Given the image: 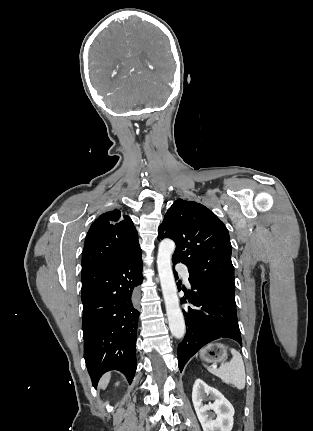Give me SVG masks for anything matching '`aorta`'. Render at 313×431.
Returning <instances> with one entry per match:
<instances>
[{
    "label": "aorta",
    "mask_w": 313,
    "mask_h": 431,
    "mask_svg": "<svg viewBox=\"0 0 313 431\" xmlns=\"http://www.w3.org/2000/svg\"><path fill=\"white\" fill-rule=\"evenodd\" d=\"M174 250L175 243L172 240L164 239L160 242L157 255V268L170 331L175 338L181 339L185 335L186 328L184 316L179 306L177 286L171 266V257Z\"/></svg>",
    "instance_id": "obj_1"
}]
</instances>
